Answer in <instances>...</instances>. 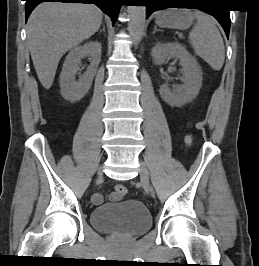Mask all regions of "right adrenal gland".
Segmentation results:
<instances>
[{"label": "right adrenal gland", "instance_id": "2a0ac1e0", "mask_svg": "<svg viewBox=\"0 0 259 266\" xmlns=\"http://www.w3.org/2000/svg\"><path fill=\"white\" fill-rule=\"evenodd\" d=\"M101 31L105 32V26H104V24H103V28L100 30V32Z\"/></svg>", "mask_w": 259, "mask_h": 266}]
</instances>
